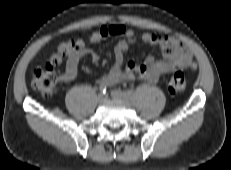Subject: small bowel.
I'll return each mask as SVG.
<instances>
[{"label": "small bowel", "instance_id": "small-bowel-1", "mask_svg": "<svg viewBox=\"0 0 231 170\" xmlns=\"http://www.w3.org/2000/svg\"><path fill=\"white\" fill-rule=\"evenodd\" d=\"M108 37H119L114 48L115 62L108 73L98 78V84L111 86L122 81L132 82L137 77L152 83H158L163 74L173 72L178 68L196 69L193 55L189 49L172 36L159 32H144L140 36L141 40L147 44L158 45L162 57L156 59L153 55H150L142 64H136L133 61L125 63V53L130 45L137 41L134 30L120 24L102 26L90 35L89 43L96 44ZM87 55L93 62L99 61V55L91 50L83 39H78L74 49L67 57L61 80H73L77 75L80 60Z\"/></svg>", "mask_w": 231, "mask_h": 170}]
</instances>
